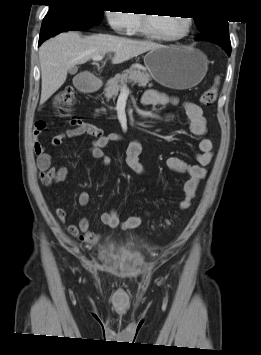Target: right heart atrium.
Instances as JSON below:
<instances>
[{"label": "right heart atrium", "mask_w": 261, "mask_h": 355, "mask_svg": "<svg viewBox=\"0 0 261 355\" xmlns=\"http://www.w3.org/2000/svg\"><path fill=\"white\" fill-rule=\"evenodd\" d=\"M106 18L110 26L120 34H131L137 21V15L130 10L108 11Z\"/></svg>", "instance_id": "1"}]
</instances>
